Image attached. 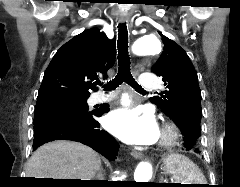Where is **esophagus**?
<instances>
[{
  "mask_svg": "<svg viewBox=\"0 0 240 187\" xmlns=\"http://www.w3.org/2000/svg\"><path fill=\"white\" fill-rule=\"evenodd\" d=\"M119 21H120L121 23H128L129 18H128L127 16H121L120 19H119ZM137 72H138V69H137V67L135 66V67H134V73L137 74ZM131 155H132L134 158H136V159H142V158L144 157V154H143V152H142V149H140V148H136V149L132 150V151H131Z\"/></svg>",
  "mask_w": 240,
  "mask_h": 187,
  "instance_id": "34e87169",
  "label": "esophagus"
}]
</instances>
